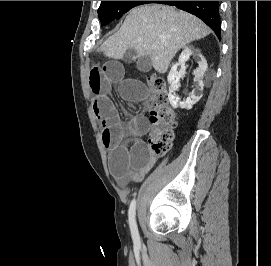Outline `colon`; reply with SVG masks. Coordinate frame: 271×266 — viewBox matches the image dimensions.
I'll return each instance as SVG.
<instances>
[{"label":"colon","instance_id":"1","mask_svg":"<svg viewBox=\"0 0 271 266\" xmlns=\"http://www.w3.org/2000/svg\"><path fill=\"white\" fill-rule=\"evenodd\" d=\"M146 84L153 98L150 102V121L148 145L153 156L161 157L170 148L174 140V129L177 126V116L169 103L168 91L163 78L150 75Z\"/></svg>","mask_w":271,"mask_h":266}]
</instances>
